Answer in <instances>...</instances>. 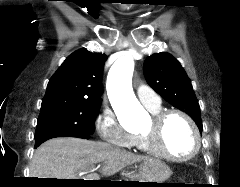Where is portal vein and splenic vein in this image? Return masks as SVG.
I'll use <instances>...</instances> for the list:
<instances>
[{"instance_id": "portal-vein-and-splenic-vein-1", "label": "portal vein and splenic vein", "mask_w": 240, "mask_h": 187, "mask_svg": "<svg viewBox=\"0 0 240 187\" xmlns=\"http://www.w3.org/2000/svg\"><path fill=\"white\" fill-rule=\"evenodd\" d=\"M94 170H95V169H93V170H91V171H94ZM91 176H92V177L94 176L96 179H99L97 175H92V174H91Z\"/></svg>"}]
</instances>
